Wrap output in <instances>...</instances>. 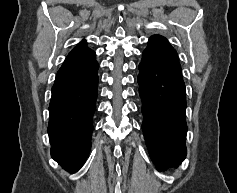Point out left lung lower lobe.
Returning a JSON list of instances; mask_svg holds the SVG:
<instances>
[{
    "label": "left lung lower lobe",
    "mask_w": 237,
    "mask_h": 193,
    "mask_svg": "<svg viewBox=\"0 0 237 193\" xmlns=\"http://www.w3.org/2000/svg\"><path fill=\"white\" fill-rule=\"evenodd\" d=\"M142 130L150 157L159 171L186 157V93L176 50L150 38L139 64Z\"/></svg>",
    "instance_id": "left-lung-lower-lobe-1"
}]
</instances>
